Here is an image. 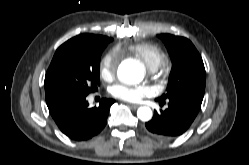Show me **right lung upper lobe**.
I'll return each mask as SVG.
<instances>
[{
  "mask_svg": "<svg viewBox=\"0 0 249 165\" xmlns=\"http://www.w3.org/2000/svg\"><path fill=\"white\" fill-rule=\"evenodd\" d=\"M79 36L88 37V38H91V39H93L95 41H101V42H104V43H108V42H110L112 40L109 37H105V36H101V35H93V34H82V35H79Z\"/></svg>",
  "mask_w": 249,
  "mask_h": 165,
  "instance_id": "1",
  "label": "right lung upper lobe"
}]
</instances>
